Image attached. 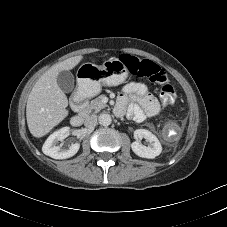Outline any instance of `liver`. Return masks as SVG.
<instances>
[{
  "label": "liver",
  "mask_w": 227,
  "mask_h": 227,
  "mask_svg": "<svg viewBox=\"0 0 227 227\" xmlns=\"http://www.w3.org/2000/svg\"><path fill=\"white\" fill-rule=\"evenodd\" d=\"M83 56H74L53 65L33 86L27 100L26 118L30 133L37 138L49 133L67 115L68 99L57 83L61 71H69Z\"/></svg>",
  "instance_id": "liver-1"
}]
</instances>
